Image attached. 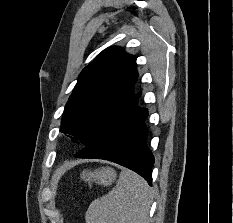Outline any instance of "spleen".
Wrapping results in <instances>:
<instances>
[{"mask_svg": "<svg viewBox=\"0 0 233 223\" xmlns=\"http://www.w3.org/2000/svg\"><path fill=\"white\" fill-rule=\"evenodd\" d=\"M151 205L150 187L133 171H122L112 191L91 201L86 223H146Z\"/></svg>", "mask_w": 233, "mask_h": 223, "instance_id": "1", "label": "spleen"}]
</instances>
